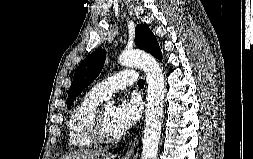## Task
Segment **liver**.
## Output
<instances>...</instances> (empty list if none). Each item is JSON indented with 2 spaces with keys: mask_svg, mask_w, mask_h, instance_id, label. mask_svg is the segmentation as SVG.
<instances>
[{
  "mask_svg": "<svg viewBox=\"0 0 253 159\" xmlns=\"http://www.w3.org/2000/svg\"><path fill=\"white\" fill-rule=\"evenodd\" d=\"M115 156L105 153L101 150H79L68 155L62 156L60 159H114Z\"/></svg>",
  "mask_w": 253,
  "mask_h": 159,
  "instance_id": "liver-1",
  "label": "liver"
}]
</instances>
